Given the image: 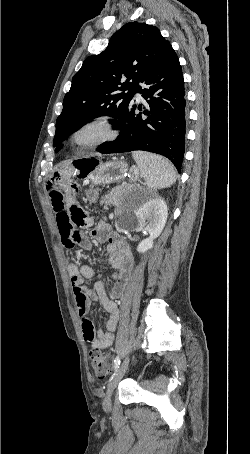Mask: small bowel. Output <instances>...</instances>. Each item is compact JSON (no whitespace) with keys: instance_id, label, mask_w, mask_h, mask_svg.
Segmentation results:
<instances>
[{"instance_id":"small-bowel-1","label":"small bowel","mask_w":250,"mask_h":454,"mask_svg":"<svg viewBox=\"0 0 250 454\" xmlns=\"http://www.w3.org/2000/svg\"><path fill=\"white\" fill-rule=\"evenodd\" d=\"M79 187L72 176L56 173L47 183V193L55 212L63 244L68 248L78 244L82 249L91 251V239L78 230L93 224V219L76 202ZM90 236L100 242L107 241L108 263L113 271L110 277L111 286L107 288L103 280H97L93 290L87 289L84 280L94 277L93 269L87 265L70 263L68 272L81 319L83 337L94 349L101 350L113 344L120 314L118 301L125 292L131 274L132 256L128 246L112 233L105 221L99 222ZM92 300L98 301L109 314L106 331H96L87 315Z\"/></svg>"}]
</instances>
